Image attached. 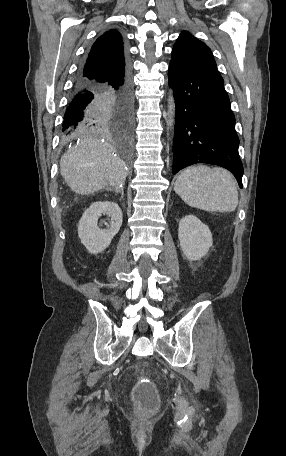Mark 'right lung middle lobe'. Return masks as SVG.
<instances>
[{
    "label": "right lung middle lobe",
    "instance_id": "dd1d6c3e",
    "mask_svg": "<svg viewBox=\"0 0 286 456\" xmlns=\"http://www.w3.org/2000/svg\"><path fill=\"white\" fill-rule=\"evenodd\" d=\"M131 138H132V135H131ZM131 138H130V140H129V141H125V140H123L122 138H120V139H121V141H122L124 144H127V145H129V144H130V142H131Z\"/></svg>",
    "mask_w": 286,
    "mask_h": 456
}]
</instances>
